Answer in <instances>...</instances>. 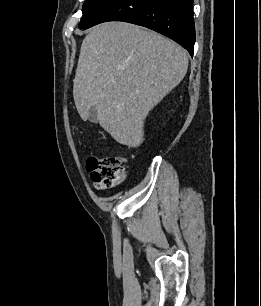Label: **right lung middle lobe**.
I'll return each instance as SVG.
<instances>
[{
	"mask_svg": "<svg viewBox=\"0 0 261 306\" xmlns=\"http://www.w3.org/2000/svg\"><path fill=\"white\" fill-rule=\"evenodd\" d=\"M113 1L114 0H85L82 8L83 16L79 28L83 29L88 26Z\"/></svg>",
	"mask_w": 261,
	"mask_h": 306,
	"instance_id": "1",
	"label": "right lung middle lobe"
}]
</instances>
